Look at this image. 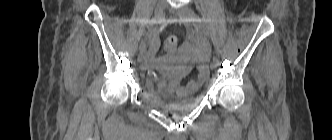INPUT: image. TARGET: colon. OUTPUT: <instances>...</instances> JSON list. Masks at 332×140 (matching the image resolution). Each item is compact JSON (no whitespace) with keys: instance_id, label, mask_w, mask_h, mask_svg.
I'll return each instance as SVG.
<instances>
[{"instance_id":"obj_1","label":"colon","mask_w":332,"mask_h":140,"mask_svg":"<svg viewBox=\"0 0 332 140\" xmlns=\"http://www.w3.org/2000/svg\"><path fill=\"white\" fill-rule=\"evenodd\" d=\"M178 40L175 36L168 37L163 45V51L166 53L173 52L177 47Z\"/></svg>"}]
</instances>
